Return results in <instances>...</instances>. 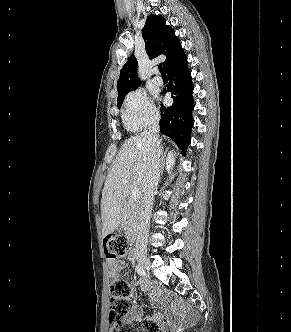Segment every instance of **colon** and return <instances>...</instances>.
Instances as JSON below:
<instances>
[{"mask_svg": "<svg viewBox=\"0 0 291 332\" xmlns=\"http://www.w3.org/2000/svg\"><path fill=\"white\" fill-rule=\"evenodd\" d=\"M107 258L126 255L128 240L122 234L108 235L104 239ZM131 288L124 280L116 279L110 287L109 324L111 332H161L159 324L150 318L128 319L132 309Z\"/></svg>", "mask_w": 291, "mask_h": 332, "instance_id": "1", "label": "colon"}]
</instances>
